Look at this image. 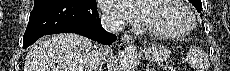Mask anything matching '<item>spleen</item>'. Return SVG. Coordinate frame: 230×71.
Listing matches in <instances>:
<instances>
[{"label":"spleen","mask_w":230,"mask_h":71,"mask_svg":"<svg viewBox=\"0 0 230 71\" xmlns=\"http://www.w3.org/2000/svg\"><path fill=\"white\" fill-rule=\"evenodd\" d=\"M185 62L197 71H205L208 69V63L205 61L204 54L196 46L190 47L186 53Z\"/></svg>","instance_id":"spleen-1"}]
</instances>
